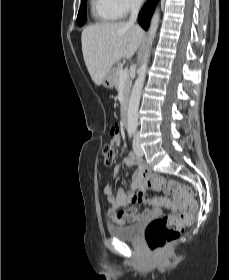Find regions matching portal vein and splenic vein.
<instances>
[{
	"mask_svg": "<svg viewBox=\"0 0 229 280\" xmlns=\"http://www.w3.org/2000/svg\"><path fill=\"white\" fill-rule=\"evenodd\" d=\"M119 74H120V80H125L128 77V70L122 68Z\"/></svg>",
	"mask_w": 229,
	"mask_h": 280,
	"instance_id": "obj_1",
	"label": "portal vein and splenic vein"
}]
</instances>
